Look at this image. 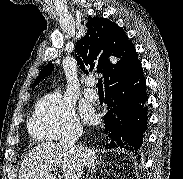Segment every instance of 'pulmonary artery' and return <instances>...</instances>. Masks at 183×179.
<instances>
[{
	"label": "pulmonary artery",
	"instance_id": "obj_1",
	"mask_svg": "<svg viewBox=\"0 0 183 179\" xmlns=\"http://www.w3.org/2000/svg\"><path fill=\"white\" fill-rule=\"evenodd\" d=\"M86 88L84 89V96L91 100V101H95L98 98V94L97 92L92 88V86L94 85V80L92 79H87L86 82Z\"/></svg>",
	"mask_w": 183,
	"mask_h": 179
}]
</instances>
